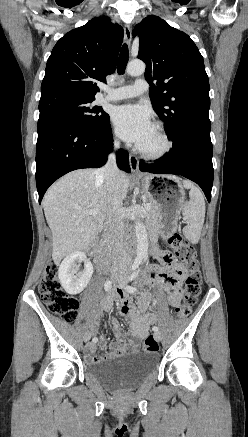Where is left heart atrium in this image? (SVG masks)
I'll return each instance as SVG.
<instances>
[{
    "mask_svg": "<svg viewBox=\"0 0 248 437\" xmlns=\"http://www.w3.org/2000/svg\"><path fill=\"white\" fill-rule=\"evenodd\" d=\"M112 121L122 139L137 145L147 138L154 127L149 111L137 104L117 107L112 114Z\"/></svg>",
    "mask_w": 248,
    "mask_h": 437,
    "instance_id": "39dd6f15",
    "label": "left heart atrium"
}]
</instances>
